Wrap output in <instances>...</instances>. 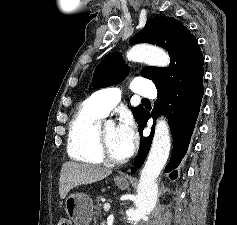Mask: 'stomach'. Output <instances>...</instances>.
I'll return each mask as SVG.
<instances>
[{
	"label": "stomach",
	"instance_id": "obj_1",
	"mask_svg": "<svg viewBox=\"0 0 237 225\" xmlns=\"http://www.w3.org/2000/svg\"><path fill=\"white\" fill-rule=\"evenodd\" d=\"M114 182L122 190L130 185L128 178L115 177ZM65 210L75 225H89L93 215L92 199L84 193L72 194L66 199Z\"/></svg>",
	"mask_w": 237,
	"mask_h": 225
}]
</instances>
